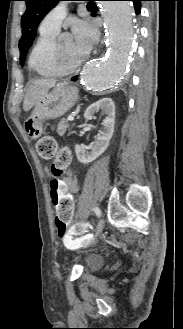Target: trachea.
Segmentation results:
<instances>
[{
    "label": "trachea",
    "mask_w": 183,
    "mask_h": 329,
    "mask_svg": "<svg viewBox=\"0 0 183 329\" xmlns=\"http://www.w3.org/2000/svg\"><path fill=\"white\" fill-rule=\"evenodd\" d=\"M93 4L89 3L88 6H92Z\"/></svg>",
    "instance_id": "3493384b"
}]
</instances>
